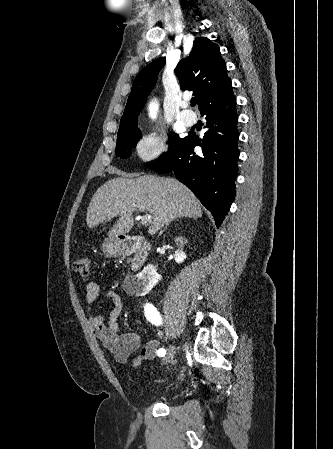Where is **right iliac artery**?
Returning <instances> with one entry per match:
<instances>
[{
    "label": "right iliac artery",
    "mask_w": 333,
    "mask_h": 449,
    "mask_svg": "<svg viewBox=\"0 0 333 449\" xmlns=\"http://www.w3.org/2000/svg\"><path fill=\"white\" fill-rule=\"evenodd\" d=\"M145 315L147 319L154 325H160L161 324V316L157 309L152 305L147 303L145 305ZM166 354V350L161 348L157 351L158 356H164Z\"/></svg>",
    "instance_id": "82829eb1"
}]
</instances>
